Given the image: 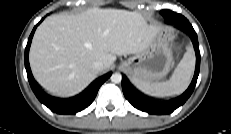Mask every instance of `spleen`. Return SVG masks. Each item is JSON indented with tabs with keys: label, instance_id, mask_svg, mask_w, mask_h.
Instances as JSON below:
<instances>
[{
	"label": "spleen",
	"instance_id": "obj_1",
	"mask_svg": "<svg viewBox=\"0 0 231 134\" xmlns=\"http://www.w3.org/2000/svg\"><path fill=\"white\" fill-rule=\"evenodd\" d=\"M194 67L195 55L193 48L189 46L169 80L153 83L132 80V83L143 93L150 96L168 97L179 95L188 87L194 72Z\"/></svg>",
	"mask_w": 231,
	"mask_h": 134
}]
</instances>
